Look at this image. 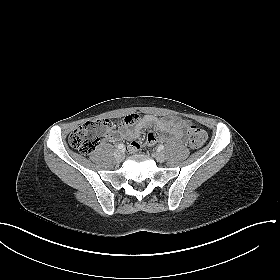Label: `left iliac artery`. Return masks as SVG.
Listing matches in <instances>:
<instances>
[{"label":"left iliac artery","instance_id":"44dca946","mask_svg":"<svg viewBox=\"0 0 280 280\" xmlns=\"http://www.w3.org/2000/svg\"><path fill=\"white\" fill-rule=\"evenodd\" d=\"M158 150H160V151H161V150H164V146H163V145H159V146H158Z\"/></svg>","mask_w":280,"mask_h":280}]
</instances>
